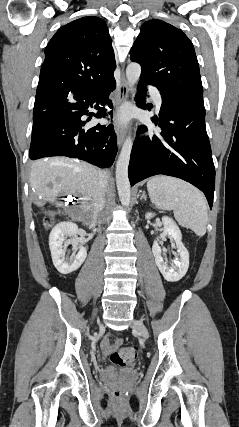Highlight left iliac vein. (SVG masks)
Returning a JSON list of instances; mask_svg holds the SVG:
<instances>
[{
  "label": "left iliac vein",
  "instance_id": "4c4485c4",
  "mask_svg": "<svg viewBox=\"0 0 239 427\" xmlns=\"http://www.w3.org/2000/svg\"><path fill=\"white\" fill-rule=\"evenodd\" d=\"M133 327L136 328L139 331V333L142 335V337H144L145 339L149 337L148 330L141 321L135 320L133 322Z\"/></svg>",
  "mask_w": 239,
  "mask_h": 427
}]
</instances>
